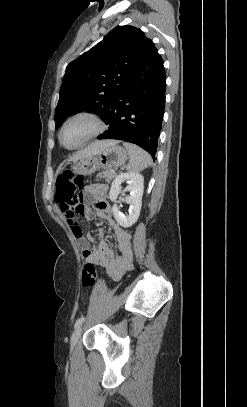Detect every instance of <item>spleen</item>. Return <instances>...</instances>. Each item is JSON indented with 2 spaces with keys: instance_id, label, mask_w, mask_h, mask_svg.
Instances as JSON below:
<instances>
[{
  "instance_id": "spleen-1",
  "label": "spleen",
  "mask_w": 247,
  "mask_h": 407,
  "mask_svg": "<svg viewBox=\"0 0 247 407\" xmlns=\"http://www.w3.org/2000/svg\"><path fill=\"white\" fill-rule=\"evenodd\" d=\"M123 145L128 150L130 157L127 165L128 171L139 172L151 166V157L146 151L128 142H124Z\"/></svg>"
}]
</instances>
